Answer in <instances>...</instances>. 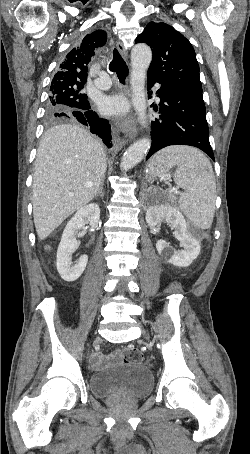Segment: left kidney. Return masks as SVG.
<instances>
[{
    "label": "left kidney",
    "instance_id": "obj_1",
    "mask_svg": "<svg viewBox=\"0 0 250 454\" xmlns=\"http://www.w3.org/2000/svg\"><path fill=\"white\" fill-rule=\"evenodd\" d=\"M146 221L150 227L166 222L174 229L175 238L181 242L183 250L177 251L165 240H158L156 249L169 263L178 267H188L200 253V241L189 227L178 208L168 204L150 207L146 212Z\"/></svg>",
    "mask_w": 250,
    "mask_h": 454
}]
</instances>
